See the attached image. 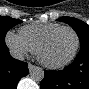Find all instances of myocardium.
<instances>
[{"label":"myocardium","instance_id":"1","mask_svg":"<svg viewBox=\"0 0 89 89\" xmlns=\"http://www.w3.org/2000/svg\"><path fill=\"white\" fill-rule=\"evenodd\" d=\"M62 30H70L74 34V36L76 38V44H75L74 50L67 59H65L59 63H50L43 58L42 52H43L44 48L46 47V45L53 38V36ZM79 47H80V37H79L78 32L71 26H61L45 36V38L41 41V43L39 44V46L37 48L36 55H37V59L39 60V62L42 65H44L45 67L51 68V69H59V68L67 66L74 60V58L76 57V55L78 53Z\"/></svg>","mask_w":89,"mask_h":89}]
</instances>
